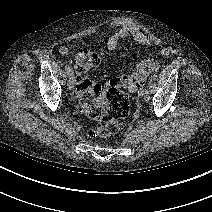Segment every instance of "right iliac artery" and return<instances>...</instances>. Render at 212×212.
<instances>
[{
  "label": "right iliac artery",
  "instance_id": "obj_1",
  "mask_svg": "<svg viewBox=\"0 0 212 212\" xmlns=\"http://www.w3.org/2000/svg\"><path fill=\"white\" fill-rule=\"evenodd\" d=\"M65 69H66V71H67L69 77H70V76H73V74H72V69H71V67H70L69 65H66V66H65Z\"/></svg>",
  "mask_w": 212,
  "mask_h": 212
}]
</instances>
